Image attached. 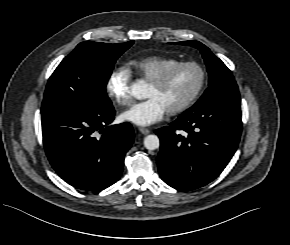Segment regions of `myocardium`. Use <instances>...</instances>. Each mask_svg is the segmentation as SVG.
<instances>
[{
    "label": "myocardium",
    "mask_w": 290,
    "mask_h": 245,
    "mask_svg": "<svg viewBox=\"0 0 290 245\" xmlns=\"http://www.w3.org/2000/svg\"><path fill=\"white\" fill-rule=\"evenodd\" d=\"M186 67H192L196 68L200 72V82L195 91L189 96L187 100H185L183 103H181L179 106L172 108L167 111L170 115H178L183 112H185L187 109H189L195 101L199 98L201 93L204 90V87L206 85L207 81V73L202 65L196 62H178L166 69H164L162 72H160L157 76H155L153 79L149 81V83L155 85V86H162L164 85L170 76L178 69L186 68Z\"/></svg>",
    "instance_id": "obj_1"
}]
</instances>
